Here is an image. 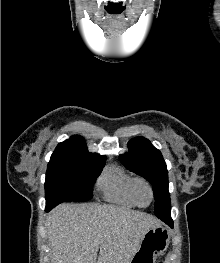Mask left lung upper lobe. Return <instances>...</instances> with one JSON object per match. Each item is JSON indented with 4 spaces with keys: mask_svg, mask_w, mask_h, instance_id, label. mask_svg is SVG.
I'll return each mask as SVG.
<instances>
[{
    "mask_svg": "<svg viewBox=\"0 0 220 263\" xmlns=\"http://www.w3.org/2000/svg\"><path fill=\"white\" fill-rule=\"evenodd\" d=\"M128 148L129 152L119 158L126 168L143 176L153 185L155 215L171 212L168 171L161 152L144 137L132 139Z\"/></svg>",
    "mask_w": 220,
    "mask_h": 263,
    "instance_id": "left-lung-upper-lobe-1",
    "label": "left lung upper lobe"
}]
</instances>
